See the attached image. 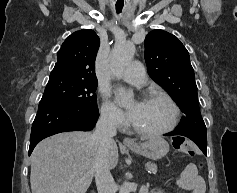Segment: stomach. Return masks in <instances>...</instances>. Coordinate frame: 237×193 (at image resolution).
I'll use <instances>...</instances> for the list:
<instances>
[{"mask_svg": "<svg viewBox=\"0 0 237 193\" xmlns=\"http://www.w3.org/2000/svg\"><path fill=\"white\" fill-rule=\"evenodd\" d=\"M129 148L146 158L158 160L163 158L169 151L168 142L161 137H152L142 143L129 146Z\"/></svg>", "mask_w": 237, "mask_h": 193, "instance_id": "stomach-1", "label": "stomach"}]
</instances>
